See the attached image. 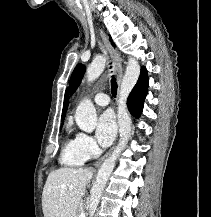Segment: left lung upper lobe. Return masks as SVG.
<instances>
[{"label":"left lung upper lobe","mask_w":211,"mask_h":217,"mask_svg":"<svg viewBox=\"0 0 211 217\" xmlns=\"http://www.w3.org/2000/svg\"><path fill=\"white\" fill-rule=\"evenodd\" d=\"M84 71H85V67L82 64H78L75 67V69L71 75V79H70V92H71V94H73L76 91L77 87L79 86V84L82 80V77L84 75Z\"/></svg>","instance_id":"1"}]
</instances>
